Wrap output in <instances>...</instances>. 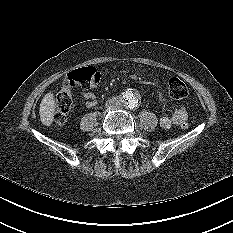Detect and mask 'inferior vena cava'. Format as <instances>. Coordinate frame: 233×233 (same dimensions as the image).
<instances>
[{
	"instance_id": "inferior-vena-cava-1",
	"label": "inferior vena cava",
	"mask_w": 233,
	"mask_h": 233,
	"mask_svg": "<svg viewBox=\"0 0 233 233\" xmlns=\"http://www.w3.org/2000/svg\"><path fill=\"white\" fill-rule=\"evenodd\" d=\"M107 108L109 109H120L123 106V103L120 99L114 97L109 99L106 103Z\"/></svg>"
}]
</instances>
